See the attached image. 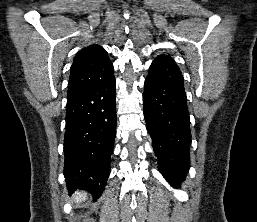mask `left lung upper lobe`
Here are the masks:
<instances>
[{
    "instance_id": "1",
    "label": "left lung upper lobe",
    "mask_w": 257,
    "mask_h": 222,
    "mask_svg": "<svg viewBox=\"0 0 257 222\" xmlns=\"http://www.w3.org/2000/svg\"><path fill=\"white\" fill-rule=\"evenodd\" d=\"M157 58L165 59V60H168V61H171V62L175 63V61L170 56H167V55H160Z\"/></svg>"
}]
</instances>
